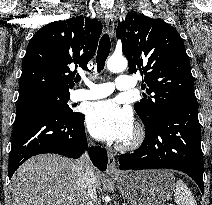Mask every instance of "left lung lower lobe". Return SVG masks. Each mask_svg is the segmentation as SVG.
Wrapping results in <instances>:
<instances>
[{"label":"left lung lower lobe","instance_id":"1","mask_svg":"<svg viewBox=\"0 0 212 205\" xmlns=\"http://www.w3.org/2000/svg\"><path fill=\"white\" fill-rule=\"evenodd\" d=\"M197 101L174 104L145 127V139L134 153L122 154L121 170L171 168L188 174L203 193V156Z\"/></svg>","mask_w":212,"mask_h":205}]
</instances>
